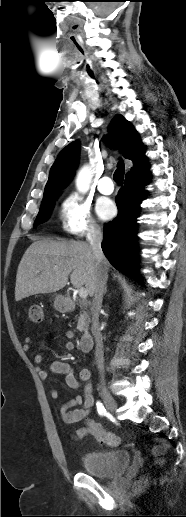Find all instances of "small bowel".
<instances>
[{
    "label": "small bowel",
    "instance_id": "small-bowel-1",
    "mask_svg": "<svg viewBox=\"0 0 186 517\" xmlns=\"http://www.w3.org/2000/svg\"><path fill=\"white\" fill-rule=\"evenodd\" d=\"M68 340L63 344V348L67 351L75 349L72 341L74 334L70 331L66 332ZM33 337L28 335L24 339V350L29 351ZM44 356L37 354L34 356L37 371L41 378H47L49 373L62 374L65 377L66 385L71 389H78L84 386L83 394L76 395L64 404L58 406L61 419L66 424H75L84 422L83 426L75 431L72 435L73 439L81 440L87 436H94L98 440V430L103 429L99 424L86 420L94 406V397L91 385V371L88 368H82L78 376L74 374L72 366L64 361H53L47 367L44 366ZM51 398L55 401L59 400V392L56 389L50 391ZM80 406V407H78ZM78 407V408H77ZM104 430V429H103Z\"/></svg>",
    "mask_w": 186,
    "mask_h": 517
}]
</instances>
